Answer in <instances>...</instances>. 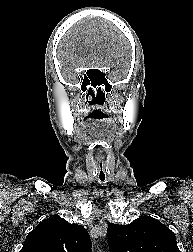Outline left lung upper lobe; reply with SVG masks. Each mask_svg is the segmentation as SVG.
I'll return each mask as SVG.
<instances>
[{
    "label": "left lung upper lobe",
    "instance_id": "5c2ea615",
    "mask_svg": "<svg viewBox=\"0 0 193 252\" xmlns=\"http://www.w3.org/2000/svg\"><path fill=\"white\" fill-rule=\"evenodd\" d=\"M111 252H180L174 233L160 221L141 216L131 224H110Z\"/></svg>",
    "mask_w": 193,
    "mask_h": 252
}]
</instances>
